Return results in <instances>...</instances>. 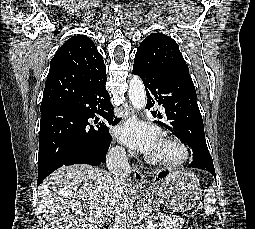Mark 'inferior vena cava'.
Returning a JSON list of instances; mask_svg holds the SVG:
<instances>
[{"label": "inferior vena cava", "instance_id": "obj_1", "mask_svg": "<svg viewBox=\"0 0 255 229\" xmlns=\"http://www.w3.org/2000/svg\"><path fill=\"white\" fill-rule=\"evenodd\" d=\"M107 167L115 179L117 189V202L115 205V223L120 229H132L133 208L125 186L131 173L124 148L115 147L107 154Z\"/></svg>", "mask_w": 255, "mask_h": 229}]
</instances>
